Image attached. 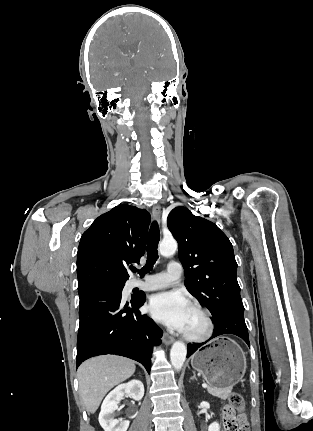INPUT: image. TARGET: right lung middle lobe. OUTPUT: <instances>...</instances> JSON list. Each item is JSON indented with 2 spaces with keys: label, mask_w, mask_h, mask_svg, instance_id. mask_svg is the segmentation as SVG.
<instances>
[{
  "label": "right lung middle lobe",
  "mask_w": 313,
  "mask_h": 431,
  "mask_svg": "<svg viewBox=\"0 0 313 431\" xmlns=\"http://www.w3.org/2000/svg\"><path fill=\"white\" fill-rule=\"evenodd\" d=\"M111 287H121V288H123V287H124V284H123V285H113V286H111Z\"/></svg>",
  "instance_id": "right-lung-middle-lobe-1"
}]
</instances>
